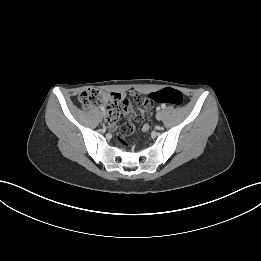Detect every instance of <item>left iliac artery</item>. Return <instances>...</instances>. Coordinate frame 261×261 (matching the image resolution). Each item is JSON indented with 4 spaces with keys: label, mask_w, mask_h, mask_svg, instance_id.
Segmentation results:
<instances>
[{
    "label": "left iliac artery",
    "mask_w": 261,
    "mask_h": 261,
    "mask_svg": "<svg viewBox=\"0 0 261 261\" xmlns=\"http://www.w3.org/2000/svg\"><path fill=\"white\" fill-rule=\"evenodd\" d=\"M165 107H166V105H165V104H162V105H161V108H162V109H164Z\"/></svg>",
    "instance_id": "44dca946"
}]
</instances>
